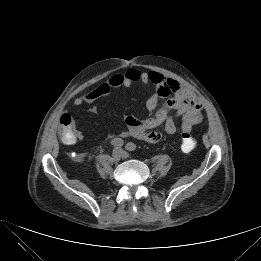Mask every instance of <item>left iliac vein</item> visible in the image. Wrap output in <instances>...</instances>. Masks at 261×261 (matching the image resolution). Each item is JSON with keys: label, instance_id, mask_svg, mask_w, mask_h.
I'll return each instance as SVG.
<instances>
[{"label": "left iliac vein", "instance_id": "4c4485c4", "mask_svg": "<svg viewBox=\"0 0 261 261\" xmlns=\"http://www.w3.org/2000/svg\"><path fill=\"white\" fill-rule=\"evenodd\" d=\"M122 156H123V158H127V157H128V154H127V153H124Z\"/></svg>", "mask_w": 261, "mask_h": 261}]
</instances>
